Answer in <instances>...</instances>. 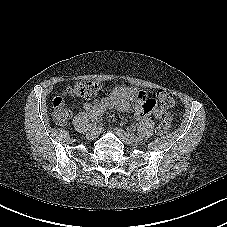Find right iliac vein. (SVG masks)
Instances as JSON below:
<instances>
[{
    "mask_svg": "<svg viewBox=\"0 0 227 227\" xmlns=\"http://www.w3.org/2000/svg\"><path fill=\"white\" fill-rule=\"evenodd\" d=\"M98 135V128L94 127V125H92L91 127H89L88 132L86 134V138L93 140L97 137Z\"/></svg>",
    "mask_w": 227,
    "mask_h": 227,
    "instance_id": "right-iliac-vein-1",
    "label": "right iliac vein"
}]
</instances>
